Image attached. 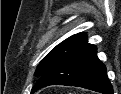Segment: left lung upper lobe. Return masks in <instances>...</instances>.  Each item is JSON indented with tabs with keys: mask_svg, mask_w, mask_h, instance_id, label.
I'll list each match as a JSON object with an SVG mask.
<instances>
[{
	"mask_svg": "<svg viewBox=\"0 0 121 94\" xmlns=\"http://www.w3.org/2000/svg\"><path fill=\"white\" fill-rule=\"evenodd\" d=\"M87 42V35L85 33H78L70 36L50 51V53L40 62L34 75L42 76L57 62L84 46Z\"/></svg>",
	"mask_w": 121,
	"mask_h": 94,
	"instance_id": "5c2ea615",
	"label": "left lung upper lobe"
}]
</instances>
